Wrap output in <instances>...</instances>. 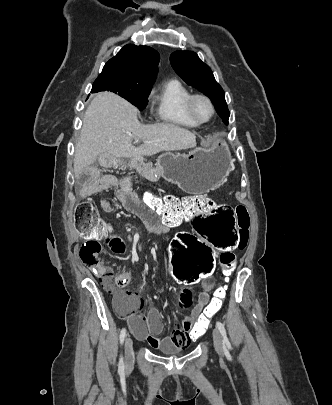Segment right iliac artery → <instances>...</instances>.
<instances>
[{
  "label": "right iliac artery",
  "mask_w": 332,
  "mask_h": 405,
  "mask_svg": "<svg viewBox=\"0 0 332 405\" xmlns=\"http://www.w3.org/2000/svg\"><path fill=\"white\" fill-rule=\"evenodd\" d=\"M125 336H126V329L123 328V329L121 330V332H120V343H121V344L124 342ZM119 371H120V372H123V371H124V362H123V358H122V357L120 358V361H119Z\"/></svg>",
  "instance_id": "82829eb1"
}]
</instances>
